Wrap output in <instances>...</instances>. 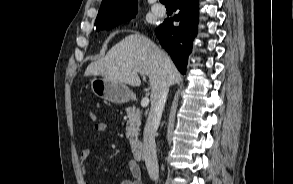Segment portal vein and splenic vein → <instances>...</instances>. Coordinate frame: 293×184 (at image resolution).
Returning a JSON list of instances; mask_svg holds the SVG:
<instances>
[{
    "label": "portal vein and splenic vein",
    "mask_w": 293,
    "mask_h": 184,
    "mask_svg": "<svg viewBox=\"0 0 293 184\" xmlns=\"http://www.w3.org/2000/svg\"><path fill=\"white\" fill-rule=\"evenodd\" d=\"M140 73L139 71H133V73ZM140 74H143V73H140ZM149 104V98L148 97H144L141 101V106L142 107H147Z\"/></svg>",
    "instance_id": "portal-vein-and-splenic-vein-1"
}]
</instances>
